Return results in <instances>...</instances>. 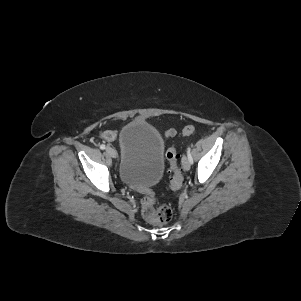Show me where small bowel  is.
Returning a JSON list of instances; mask_svg holds the SVG:
<instances>
[{
    "label": "small bowel",
    "instance_id": "c3829d8e",
    "mask_svg": "<svg viewBox=\"0 0 301 301\" xmlns=\"http://www.w3.org/2000/svg\"><path fill=\"white\" fill-rule=\"evenodd\" d=\"M112 134V133H111ZM176 134L175 130L174 129H168L166 132H165V136L167 138H171V137H174ZM113 135V134H112ZM114 137V136H113ZM113 139V138H112Z\"/></svg>",
    "mask_w": 301,
    "mask_h": 301
}]
</instances>
